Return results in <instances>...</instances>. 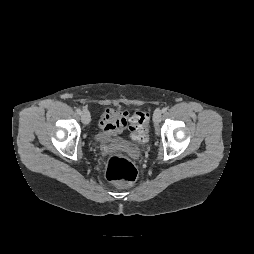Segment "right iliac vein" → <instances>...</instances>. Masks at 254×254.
<instances>
[{
    "label": "right iliac vein",
    "instance_id": "right-iliac-vein-1",
    "mask_svg": "<svg viewBox=\"0 0 254 254\" xmlns=\"http://www.w3.org/2000/svg\"><path fill=\"white\" fill-rule=\"evenodd\" d=\"M81 120L82 122L87 125L89 124L90 122V114L87 110H84L82 113H81Z\"/></svg>",
    "mask_w": 254,
    "mask_h": 254
}]
</instances>
